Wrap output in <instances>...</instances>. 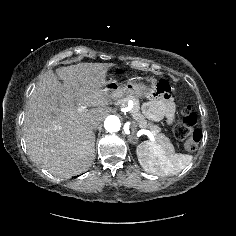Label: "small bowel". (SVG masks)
Masks as SVG:
<instances>
[{
    "label": "small bowel",
    "instance_id": "small-bowel-1",
    "mask_svg": "<svg viewBox=\"0 0 236 236\" xmlns=\"http://www.w3.org/2000/svg\"><path fill=\"white\" fill-rule=\"evenodd\" d=\"M147 110L151 111L154 117L164 115L169 121L174 119V106L170 100H155L147 104Z\"/></svg>",
    "mask_w": 236,
    "mask_h": 236
}]
</instances>
